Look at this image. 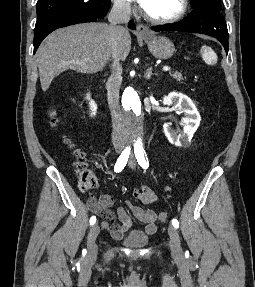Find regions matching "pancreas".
Returning <instances> with one entry per match:
<instances>
[{"instance_id":"cf45deb5","label":"pancreas","mask_w":255,"mask_h":287,"mask_svg":"<svg viewBox=\"0 0 255 287\" xmlns=\"http://www.w3.org/2000/svg\"><path fill=\"white\" fill-rule=\"evenodd\" d=\"M170 76H173V78H175V80H177V82H182V80H184L182 74H180V72H174V74H170Z\"/></svg>"}]
</instances>
